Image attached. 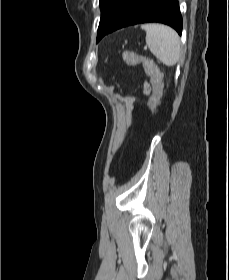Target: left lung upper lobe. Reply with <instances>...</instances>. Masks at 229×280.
<instances>
[{
  "instance_id": "obj_1",
  "label": "left lung upper lobe",
  "mask_w": 229,
  "mask_h": 280,
  "mask_svg": "<svg viewBox=\"0 0 229 280\" xmlns=\"http://www.w3.org/2000/svg\"><path fill=\"white\" fill-rule=\"evenodd\" d=\"M128 0H100L101 19L97 38L102 37L122 14Z\"/></svg>"
}]
</instances>
